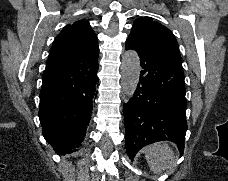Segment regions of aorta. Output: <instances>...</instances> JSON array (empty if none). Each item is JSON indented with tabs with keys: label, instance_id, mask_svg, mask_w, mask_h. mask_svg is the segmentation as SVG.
I'll use <instances>...</instances> for the list:
<instances>
[{
	"label": "aorta",
	"instance_id": "aorta-1",
	"mask_svg": "<svg viewBox=\"0 0 228 181\" xmlns=\"http://www.w3.org/2000/svg\"><path fill=\"white\" fill-rule=\"evenodd\" d=\"M140 59L133 50H128L122 55L121 85L126 99H130L139 81Z\"/></svg>",
	"mask_w": 228,
	"mask_h": 181
}]
</instances>
